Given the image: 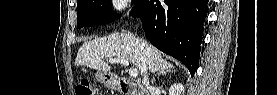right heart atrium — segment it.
Returning a JSON list of instances; mask_svg holds the SVG:
<instances>
[{
	"label": "right heart atrium",
	"instance_id": "right-heart-atrium-1",
	"mask_svg": "<svg viewBox=\"0 0 277 95\" xmlns=\"http://www.w3.org/2000/svg\"><path fill=\"white\" fill-rule=\"evenodd\" d=\"M132 5L133 2L131 0H114L111 5V11L117 16H125Z\"/></svg>",
	"mask_w": 277,
	"mask_h": 95
}]
</instances>
